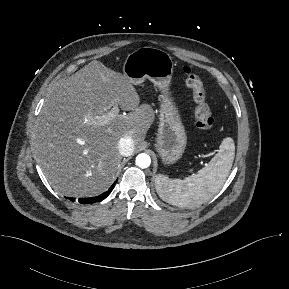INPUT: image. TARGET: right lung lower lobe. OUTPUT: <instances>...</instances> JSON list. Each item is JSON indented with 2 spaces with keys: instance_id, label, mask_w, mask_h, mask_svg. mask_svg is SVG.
Returning <instances> with one entry per match:
<instances>
[{
  "instance_id": "obj_1",
  "label": "right lung lower lobe",
  "mask_w": 289,
  "mask_h": 289,
  "mask_svg": "<svg viewBox=\"0 0 289 289\" xmlns=\"http://www.w3.org/2000/svg\"><path fill=\"white\" fill-rule=\"evenodd\" d=\"M115 183L116 182H114L113 185L106 192L102 193L101 195L96 196V197H90V198H79V202L82 204H91V203L99 202V201L105 199L113 190ZM69 199L72 201H75V198H69Z\"/></svg>"
}]
</instances>
